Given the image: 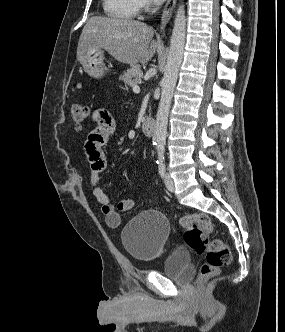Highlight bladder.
Here are the masks:
<instances>
[{"label":"bladder","instance_id":"bladder-1","mask_svg":"<svg viewBox=\"0 0 285 332\" xmlns=\"http://www.w3.org/2000/svg\"><path fill=\"white\" fill-rule=\"evenodd\" d=\"M171 232L167 217L157 210H144L133 217L121 231V242L134 259L151 261L159 257ZM166 276L185 280L191 273V255L183 247L172 251L165 260Z\"/></svg>","mask_w":285,"mask_h":332}]
</instances>
